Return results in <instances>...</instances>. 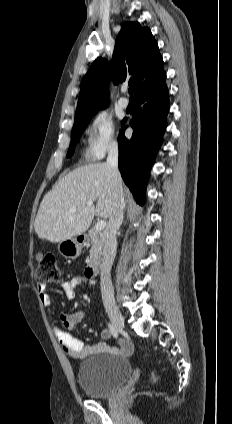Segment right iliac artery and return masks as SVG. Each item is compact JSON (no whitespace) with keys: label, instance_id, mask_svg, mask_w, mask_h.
Listing matches in <instances>:
<instances>
[{"label":"right iliac artery","instance_id":"1","mask_svg":"<svg viewBox=\"0 0 232 424\" xmlns=\"http://www.w3.org/2000/svg\"><path fill=\"white\" fill-rule=\"evenodd\" d=\"M108 327H109V329H110V331H111L112 335H113L115 338H117V336H118V330H117V328H116L113 324H111V323H108Z\"/></svg>","mask_w":232,"mask_h":424}]
</instances>
